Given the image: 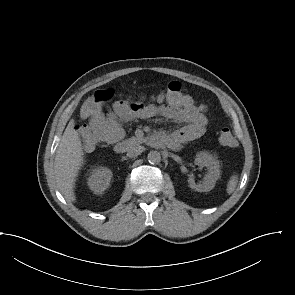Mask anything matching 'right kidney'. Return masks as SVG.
Listing matches in <instances>:
<instances>
[{
  "mask_svg": "<svg viewBox=\"0 0 295 295\" xmlns=\"http://www.w3.org/2000/svg\"><path fill=\"white\" fill-rule=\"evenodd\" d=\"M112 172L106 167L93 169L89 178L88 186L95 194H102L110 185Z\"/></svg>",
  "mask_w": 295,
  "mask_h": 295,
  "instance_id": "right-kidney-1",
  "label": "right kidney"
}]
</instances>
